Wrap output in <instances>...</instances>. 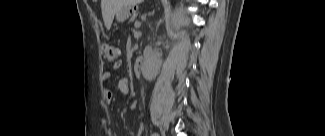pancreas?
Masks as SVG:
<instances>
[{
  "label": "pancreas",
  "mask_w": 325,
  "mask_h": 136,
  "mask_svg": "<svg viewBox=\"0 0 325 136\" xmlns=\"http://www.w3.org/2000/svg\"><path fill=\"white\" fill-rule=\"evenodd\" d=\"M134 18H129L128 20H127V23L129 24V25H132L133 23H134Z\"/></svg>",
  "instance_id": "pancreas-1"
}]
</instances>
